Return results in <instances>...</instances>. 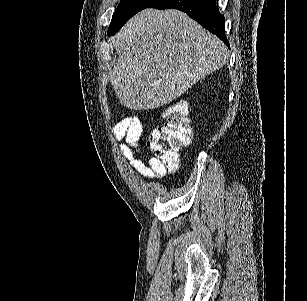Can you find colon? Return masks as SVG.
Here are the masks:
<instances>
[{
    "instance_id": "obj_1",
    "label": "colon",
    "mask_w": 307,
    "mask_h": 301,
    "mask_svg": "<svg viewBox=\"0 0 307 301\" xmlns=\"http://www.w3.org/2000/svg\"><path fill=\"white\" fill-rule=\"evenodd\" d=\"M162 117L165 123L150 132L147 146L166 171L173 172L179 166V152L192 144L194 128L184 100H176L165 107Z\"/></svg>"
}]
</instances>
